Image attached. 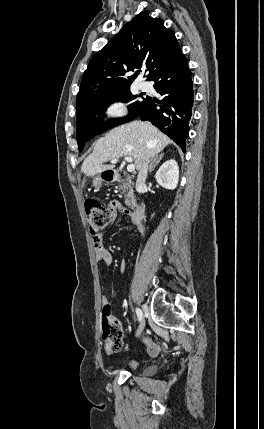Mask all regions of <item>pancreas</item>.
I'll list each match as a JSON object with an SVG mask.
<instances>
[{
    "label": "pancreas",
    "instance_id": "1",
    "mask_svg": "<svg viewBox=\"0 0 264 429\" xmlns=\"http://www.w3.org/2000/svg\"><path fill=\"white\" fill-rule=\"evenodd\" d=\"M119 190L122 191L125 197V204L127 206H131L134 204V192H133V185L129 179L126 180H119Z\"/></svg>",
    "mask_w": 264,
    "mask_h": 429
}]
</instances>
